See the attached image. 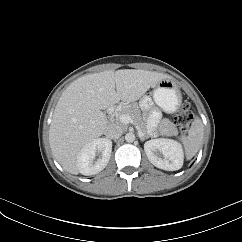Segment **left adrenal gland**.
Here are the masks:
<instances>
[{
    "label": "left adrenal gland",
    "mask_w": 242,
    "mask_h": 242,
    "mask_svg": "<svg viewBox=\"0 0 242 242\" xmlns=\"http://www.w3.org/2000/svg\"><path fill=\"white\" fill-rule=\"evenodd\" d=\"M139 138H140L141 141H144L145 139L148 138V136H139Z\"/></svg>",
    "instance_id": "1"
}]
</instances>
